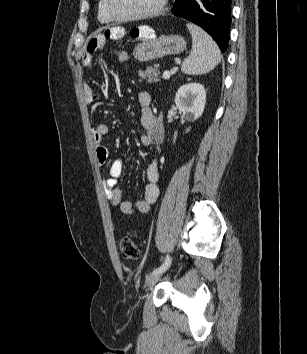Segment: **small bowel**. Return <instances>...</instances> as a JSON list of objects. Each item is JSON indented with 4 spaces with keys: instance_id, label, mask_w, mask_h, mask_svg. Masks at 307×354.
I'll list each match as a JSON object with an SVG mask.
<instances>
[{
    "instance_id": "1",
    "label": "small bowel",
    "mask_w": 307,
    "mask_h": 354,
    "mask_svg": "<svg viewBox=\"0 0 307 354\" xmlns=\"http://www.w3.org/2000/svg\"><path fill=\"white\" fill-rule=\"evenodd\" d=\"M130 38L131 32L124 31L122 28H111L105 32L104 38L118 40L121 38ZM104 45L103 38H93L86 46L82 58L83 66L90 67L94 63V53ZM84 94L86 100L91 103L97 95L90 83L84 84ZM152 97L150 93L144 91L138 95V102L141 107V125L143 131L140 135V143L143 146L158 145L163 138V127L160 120L150 108ZM109 127L105 123H98L93 127V140L95 143L96 157L99 164H105L108 157V150L103 144L104 137L108 134ZM124 168L122 159H115L109 168V176L103 180V187L109 201L119 207L122 213L131 215L135 213H147L159 196L157 182L159 180V171L156 161H152L146 167V184L142 199L136 202L124 200L122 192L118 187V179Z\"/></svg>"
}]
</instances>
